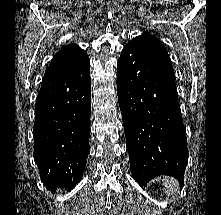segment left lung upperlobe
Returning <instances> with one entry per match:
<instances>
[{
	"instance_id": "5c2ea615",
	"label": "left lung upper lobe",
	"mask_w": 221,
	"mask_h": 215,
	"mask_svg": "<svg viewBox=\"0 0 221 215\" xmlns=\"http://www.w3.org/2000/svg\"><path fill=\"white\" fill-rule=\"evenodd\" d=\"M128 44L137 46L138 48L147 52L153 58L164 64L166 67L173 70L167 50L165 49L163 44L152 35L144 33L131 40Z\"/></svg>"
}]
</instances>
